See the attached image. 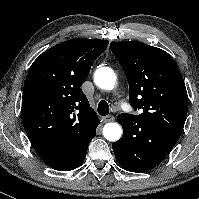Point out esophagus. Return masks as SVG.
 I'll return each mask as SVG.
<instances>
[{"mask_svg": "<svg viewBox=\"0 0 199 199\" xmlns=\"http://www.w3.org/2000/svg\"><path fill=\"white\" fill-rule=\"evenodd\" d=\"M102 120L104 122H110V121H114L115 117L113 115H107V116L103 117Z\"/></svg>", "mask_w": 199, "mask_h": 199, "instance_id": "1", "label": "esophagus"}]
</instances>
